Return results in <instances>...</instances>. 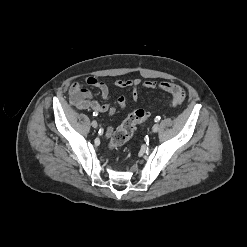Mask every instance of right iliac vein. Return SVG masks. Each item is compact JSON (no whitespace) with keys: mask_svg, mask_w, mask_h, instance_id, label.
Wrapping results in <instances>:
<instances>
[{"mask_svg":"<svg viewBox=\"0 0 247 247\" xmlns=\"http://www.w3.org/2000/svg\"><path fill=\"white\" fill-rule=\"evenodd\" d=\"M91 125H92L93 128H97L98 127V124H97V122L95 120L92 121Z\"/></svg>","mask_w":247,"mask_h":247,"instance_id":"right-iliac-vein-1","label":"right iliac vein"}]
</instances>
